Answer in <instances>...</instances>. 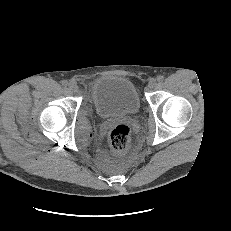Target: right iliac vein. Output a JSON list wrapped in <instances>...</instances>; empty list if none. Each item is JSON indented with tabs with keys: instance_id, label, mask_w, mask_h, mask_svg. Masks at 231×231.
I'll return each mask as SVG.
<instances>
[{
	"instance_id": "63e3f726",
	"label": "right iliac vein",
	"mask_w": 231,
	"mask_h": 231,
	"mask_svg": "<svg viewBox=\"0 0 231 231\" xmlns=\"http://www.w3.org/2000/svg\"><path fill=\"white\" fill-rule=\"evenodd\" d=\"M69 90L72 92H77L79 90L78 85L75 82H70L68 84Z\"/></svg>"
}]
</instances>
